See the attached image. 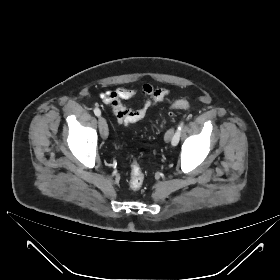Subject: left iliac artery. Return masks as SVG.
<instances>
[{"label": "left iliac artery", "mask_w": 280, "mask_h": 280, "mask_svg": "<svg viewBox=\"0 0 280 280\" xmlns=\"http://www.w3.org/2000/svg\"><path fill=\"white\" fill-rule=\"evenodd\" d=\"M183 126H184V122L182 121L178 125L177 131H176V133L173 136V139H172V142H171L173 146H176L178 144L179 139H180V134H181V131L183 129Z\"/></svg>", "instance_id": "44dca946"}]
</instances>
